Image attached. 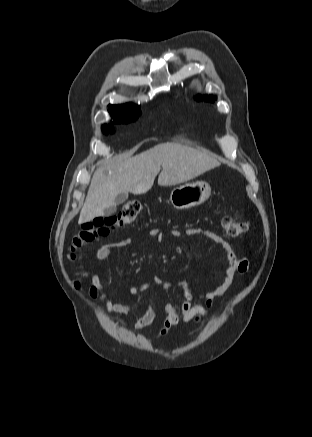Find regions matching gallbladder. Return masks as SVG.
<instances>
[{
    "instance_id": "obj_1",
    "label": "gallbladder",
    "mask_w": 312,
    "mask_h": 437,
    "mask_svg": "<svg viewBox=\"0 0 312 437\" xmlns=\"http://www.w3.org/2000/svg\"><path fill=\"white\" fill-rule=\"evenodd\" d=\"M127 198H128V192H122V193L118 194L116 199H115V204L109 206L108 208H105L103 210L102 215L103 216H110V215L116 213V211H117L116 205L124 203L127 200Z\"/></svg>"
}]
</instances>
